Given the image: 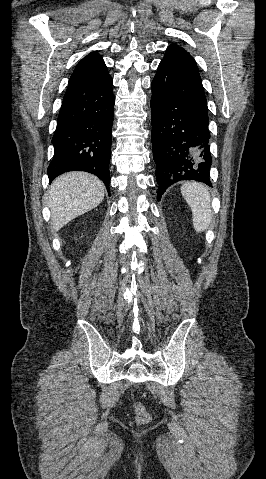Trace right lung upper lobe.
<instances>
[{"label":"right lung upper lobe","mask_w":266,"mask_h":479,"mask_svg":"<svg viewBox=\"0 0 266 479\" xmlns=\"http://www.w3.org/2000/svg\"><path fill=\"white\" fill-rule=\"evenodd\" d=\"M107 74V67L103 58L98 53L91 52L77 64L69 79V83L91 81L104 77Z\"/></svg>","instance_id":"right-lung-upper-lobe-1"}]
</instances>
